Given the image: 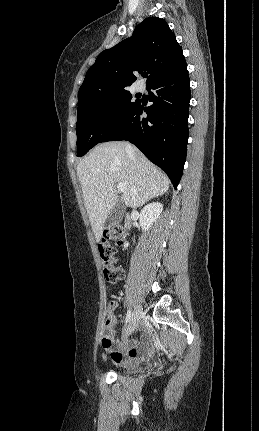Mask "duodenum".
I'll use <instances>...</instances> for the list:
<instances>
[{"label": "duodenum", "instance_id": "obj_1", "mask_svg": "<svg viewBox=\"0 0 259 431\" xmlns=\"http://www.w3.org/2000/svg\"><path fill=\"white\" fill-rule=\"evenodd\" d=\"M124 226H125L126 228H130V226H131V221H130L129 217H126V218H125Z\"/></svg>", "mask_w": 259, "mask_h": 431}]
</instances>
